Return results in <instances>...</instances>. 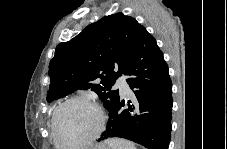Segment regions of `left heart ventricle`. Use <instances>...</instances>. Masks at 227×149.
Instances as JSON below:
<instances>
[{"label":"left heart ventricle","instance_id":"obj_1","mask_svg":"<svg viewBox=\"0 0 227 149\" xmlns=\"http://www.w3.org/2000/svg\"><path fill=\"white\" fill-rule=\"evenodd\" d=\"M98 122V113L91 105L71 103L65 106L58 116L59 137L63 143L82 141L93 133Z\"/></svg>","mask_w":227,"mask_h":149}]
</instances>
